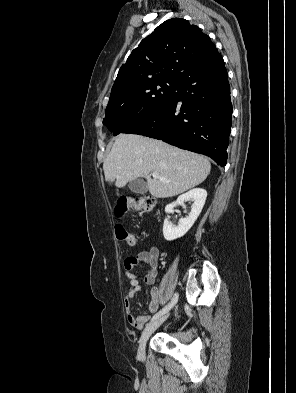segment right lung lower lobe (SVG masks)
<instances>
[{
  "instance_id": "obj_1",
  "label": "right lung lower lobe",
  "mask_w": 296,
  "mask_h": 393,
  "mask_svg": "<svg viewBox=\"0 0 296 393\" xmlns=\"http://www.w3.org/2000/svg\"><path fill=\"white\" fill-rule=\"evenodd\" d=\"M231 116L228 74L214 45L179 77L169 99L121 133L162 139L225 166Z\"/></svg>"
}]
</instances>
